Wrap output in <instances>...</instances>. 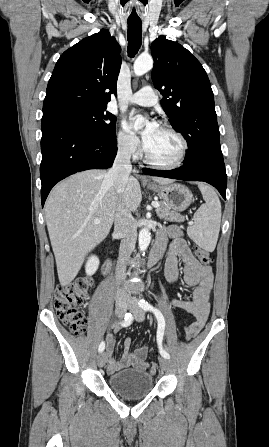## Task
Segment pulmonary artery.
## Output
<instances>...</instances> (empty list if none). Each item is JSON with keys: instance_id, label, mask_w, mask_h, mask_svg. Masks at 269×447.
Segmentation results:
<instances>
[{"instance_id": "pulmonary-artery-1", "label": "pulmonary artery", "mask_w": 269, "mask_h": 447, "mask_svg": "<svg viewBox=\"0 0 269 447\" xmlns=\"http://www.w3.org/2000/svg\"><path fill=\"white\" fill-rule=\"evenodd\" d=\"M158 100V93L151 86L142 87L140 90L128 97L129 103L146 107L156 105Z\"/></svg>"}]
</instances>
